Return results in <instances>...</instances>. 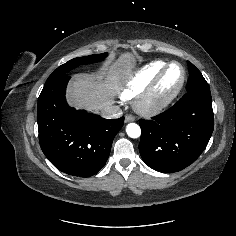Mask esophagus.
<instances>
[{"instance_id":"1","label":"esophagus","mask_w":236,"mask_h":236,"mask_svg":"<svg viewBox=\"0 0 236 236\" xmlns=\"http://www.w3.org/2000/svg\"><path fill=\"white\" fill-rule=\"evenodd\" d=\"M135 120V117L131 114H126L125 115V122L128 123V122H132Z\"/></svg>"}]
</instances>
